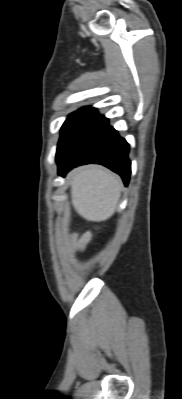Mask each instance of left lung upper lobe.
<instances>
[{
  "mask_svg": "<svg viewBox=\"0 0 182 399\" xmlns=\"http://www.w3.org/2000/svg\"><path fill=\"white\" fill-rule=\"evenodd\" d=\"M95 108L91 107H84L81 108L80 110L70 114L66 121L64 122L63 126L61 127V136L58 142L57 146V152H56V158L62 153V151L65 149L67 144L69 143L70 137L72 134L75 132V130L78 128V126L82 123V121L95 112Z\"/></svg>",
  "mask_w": 182,
  "mask_h": 399,
  "instance_id": "1",
  "label": "left lung upper lobe"
}]
</instances>
